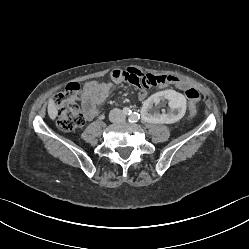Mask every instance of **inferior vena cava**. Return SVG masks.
Returning a JSON list of instances; mask_svg holds the SVG:
<instances>
[{"label":"inferior vena cava","instance_id":"602c4592","mask_svg":"<svg viewBox=\"0 0 249 249\" xmlns=\"http://www.w3.org/2000/svg\"><path fill=\"white\" fill-rule=\"evenodd\" d=\"M110 120L112 122L120 123L125 120V115L122 113L120 109H113L110 112Z\"/></svg>","mask_w":249,"mask_h":249}]
</instances>
